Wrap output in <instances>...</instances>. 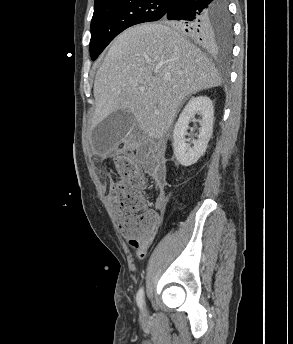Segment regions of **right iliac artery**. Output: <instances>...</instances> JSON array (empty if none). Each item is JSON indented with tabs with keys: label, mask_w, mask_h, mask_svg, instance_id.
Listing matches in <instances>:
<instances>
[{
	"label": "right iliac artery",
	"mask_w": 293,
	"mask_h": 344,
	"mask_svg": "<svg viewBox=\"0 0 293 344\" xmlns=\"http://www.w3.org/2000/svg\"><path fill=\"white\" fill-rule=\"evenodd\" d=\"M137 304L139 306L140 309H143V305H144V290L143 288H141L138 293H137Z\"/></svg>",
	"instance_id": "right-iliac-artery-1"
}]
</instances>
